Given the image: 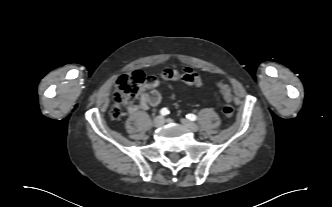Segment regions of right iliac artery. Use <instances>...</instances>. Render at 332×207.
<instances>
[{"label":"right iliac artery","mask_w":332,"mask_h":207,"mask_svg":"<svg viewBox=\"0 0 332 207\" xmlns=\"http://www.w3.org/2000/svg\"><path fill=\"white\" fill-rule=\"evenodd\" d=\"M169 113V110L167 108H162L160 111L161 116H165Z\"/></svg>","instance_id":"82829eb1"}]
</instances>
